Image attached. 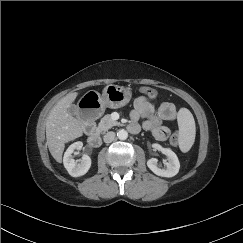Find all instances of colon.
Segmentation results:
<instances>
[{
	"label": "colon",
	"mask_w": 243,
	"mask_h": 243,
	"mask_svg": "<svg viewBox=\"0 0 243 243\" xmlns=\"http://www.w3.org/2000/svg\"><path fill=\"white\" fill-rule=\"evenodd\" d=\"M139 91L144 94L146 97L150 98V99H154L157 97L158 92L155 88L152 87H148V86H142ZM170 143L172 145H177L178 143V139L176 135H172L171 139H170Z\"/></svg>",
	"instance_id": "1"
}]
</instances>
